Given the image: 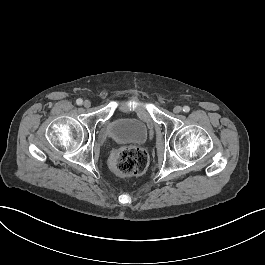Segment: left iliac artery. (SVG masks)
Returning a JSON list of instances; mask_svg holds the SVG:
<instances>
[{"label":"left iliac artery","mask_w":265,"mask_h":265,"mask_svg":"<svg viewBox=\"0 0 265 265\" xmlns=\"http://www.w3.org/2000/svg\"><path fill=\"white\" fill-rule=\"evenodd\" d=\"M183 111L187 113V112L190 111V108H189L188 106H184V107H183Z\"/></svg>","instance_id":"1"}]
</instances>
